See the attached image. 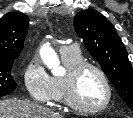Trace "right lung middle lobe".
Listing matches in <instances>:
<instances>
[{
	"label": "right lung middle lobe",
	"mask_w": 133,
	"mask_h": 118,
	"mask_svg": "<svg viewBox=\"0 0 133 118\" xmlns=\"http://www.w3.org/2000/svg\"><path fill=\"white\" fill-rule=\"evenodd\" d=\"M14 59H0V97L16 89L17 83L11 75Z\"/></svg>",
	"instance_id": "dd1d6c3e"
}]
</instances>
